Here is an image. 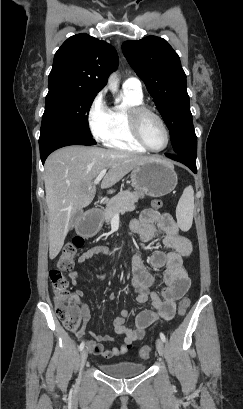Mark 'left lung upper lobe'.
<instances>
[{"instance_id":"left-lung-upper-lobe-1","label":"left lung upper lobe","mask_w":243,"mask_h":409,"mask_svg":"<svg viewBox=\"0 0 243 409\" xmlns=\"http://www.w3.org/2000/svg\"><path fill=\"white\" fill-rule=\"evenodd\" d=\"M122 50L155 100L170 131L174 152L196 160L197 138L186 90V75L178 54L165 39L156 36L125 41Z\"/></svg>"}]
</instances>
